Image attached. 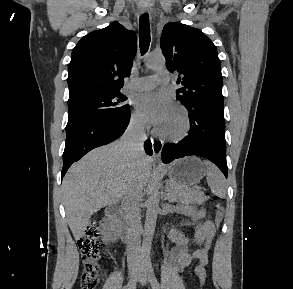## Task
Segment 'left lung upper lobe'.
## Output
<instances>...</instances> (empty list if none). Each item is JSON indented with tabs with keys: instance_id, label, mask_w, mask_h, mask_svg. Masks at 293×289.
Here are the masks:
<instances>
[{
	"instance_id": "5c2ea615",
	"label": "left lung upper lobe",
	"mask_w": 293,
	"mask_h": 289,
	"mask_svg": "<svg viewBox=\"0 0 293 289\" xmlns=\"http://www.w3.org/2000/svg\"><path fill=\"white\" fill-rule=\"evenodd\" d=\"M167 69L179 72L177 99L186 107L204 103L223 108L221 63L216 46L199 29L167 23L161 35Z\"/></svg>"
}]
</instances>
